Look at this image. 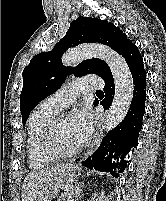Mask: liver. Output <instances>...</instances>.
Returning <instances> with one entry per match:
<instances>
[{
  "label": "liver",
  "instance_id": "1",
  "mask_svg": "<svg viewBox=\"0 0 166 201\" xmlns=\"http://www.w3.org/2000/svg\"><path fill=\"white\" fill-rule=\"evenodd\" d=\"M64 164L50 168H41L28 173L22 185V201H35L40 187Z\"/></svg>",
  "mask_w": 166,
  "mask_h": 201
}]
</instances>
